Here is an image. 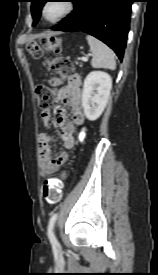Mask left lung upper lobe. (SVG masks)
I'll use <instances>...</instances> for the list:
<instances>
[{
	"label": "left lung upper lobe",
	"instance_id": "1",
	"mask_svg": "<svg viewBox=\"0 0 158 275\" xmlns=\"http://www.w3.org/2000/svg\"><path fill=\"white\" fill-rule=\"evenodd\" d=\"M47 0H31V13L33 16V26L36 25V23L39 20L40 14H41V9L44 5V3H46Z\"/></svg>",
	"mask_w": 158,
	"mask_h": 275
}]
</instances>
